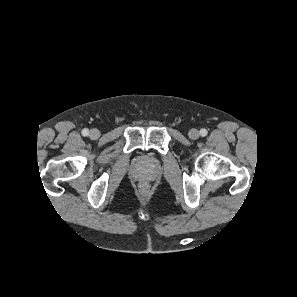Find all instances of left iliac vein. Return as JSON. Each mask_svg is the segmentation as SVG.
<instances>
[{"label": "left iliac vein", "instance_id": "left-iliac-vein-1", "mask_svg": "<svg viewBox=\"0 0 297 297\" xmlns=\"http://www.w3.org/2000/svg\"><path fill=\"white\" fill-rule=\"evenodd\" d=\"M199 131L197 129H191L188 133V136L192 140H196L199 138Z\"/></svg>", "mask_w": 297, "mask_h": 297}]
</instances>
